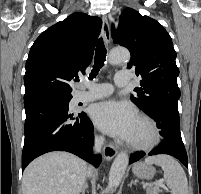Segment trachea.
Listing matches in <instances>:
<instances>
[{"instance_id": "obj_1", "label": "trachea", "mask_w": 201, "mask_h": 194, "mask_svg": "<svg viewBox=\"0 0 201 194\" xmlns=\"http://www.w3.org/2000/svg\"><path fill=\"white\" fill-rule=\"evenodd\" d=\"M106 54L107 50L105 48L103 38H99L96 46V51H95V58H94V65L93 69L90 73L89 79H93L96 77L100 69L104 66V62L106 59ZM78 81V80H77Z\"/></svg>"}]
</instances>
